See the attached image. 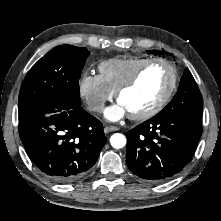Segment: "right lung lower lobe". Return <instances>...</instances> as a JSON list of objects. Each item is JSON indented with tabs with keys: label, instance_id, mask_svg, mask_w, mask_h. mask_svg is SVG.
<instances>
[{
	"label": "right lung lower lobe",
	"instance_id": "98d812e1",
	"mask_svg": "<svg viewBox=\"0 0 221 221\" xmlns=\"http://www.w3.org/2000/svg\"><path fill=\"white\" fill-rule=\"evenodd\" d=\"M19 135L34 166L57 183L85 176L107 140L102 123L81 106L52 109L20 121Z\"/></svg>",
	"mask_w": 221,
	"mask_h": 221
}]
</instances>
